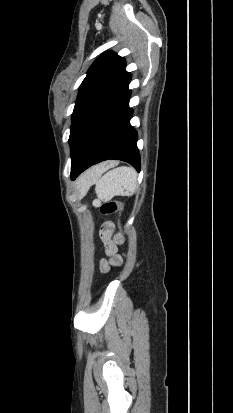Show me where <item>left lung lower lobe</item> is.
<instances>
[{
	"mask_svg": "<svg viewBox=\"0 0 233 413\" xmlns=\"http://www.w3.org/2000/svg\"><path fill=\"white\" fill-rule=\"evenodd\" d=\"M130 80L131 76L86 129L71 161L72 180L91 165L107 159L126 161L140 171L137 133L129 123Z\"/></svg>",
	"mask_w": 233,
	"mask_h": 413,
	"instance_id": "1",
	"label": "left lung lower lobe"
}]
</instances>
